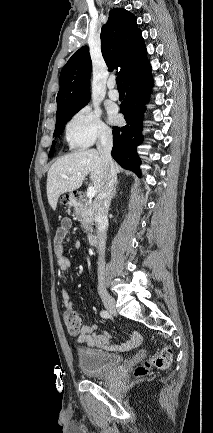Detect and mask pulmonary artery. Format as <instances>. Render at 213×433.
I'll return each mask as SVG.
<instances>
[{
	"label": "pulmonary artery",
	"instance_id": "pulmonary-artery-1",
	"mask_svg": "<svg viewBox=\"0 0 213 433\" xmlns=\"http://www.w3.org/2000/svg\"><path fill=\"white\" fill-rule=\"evenodd\" d=\"M108 97L111 100H117L119 98V93L118 91L115 89V81L113 79L109 80L108 82Z\"/></svg>",
	"mask_w": 213,
	"mask_h": 433
}]
</instances>
